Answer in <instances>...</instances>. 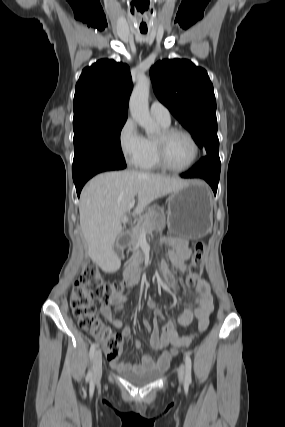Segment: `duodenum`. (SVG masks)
Here are the masks:
<instances>
[{
    "instance_id": "410a0bca",
    "label": "duodenum",
    "mask_w": 285,
    "mask_h": 427,
    "mask_svg": "<svg viewBox=\"0 0 285 427\" xmlns=\"http://www.w3.org/2000/svg\"><path fill=\"white\" fill-rule=\"evenodd\" d=\"M132 273H133V266L127 267L124 274L127 276L129 281H130L129 277Z\"/></svg>"
}]
</instances>
